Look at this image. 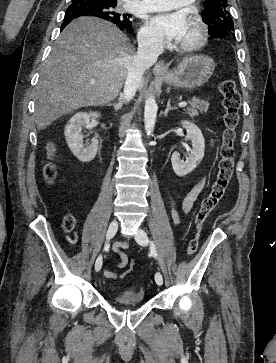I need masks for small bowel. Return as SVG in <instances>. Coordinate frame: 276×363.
<instances>
[{"label": "small bowel", "mask_w": 276, "mask_h": 363, "mask_svg": "<svg viewBox=\"0 0 276 363\" xmlns=\"http://www.w3.org/2000/svg\"><path fill=\"white\" fill-rule=\"evenodd\" d=\"M213 143V141H212ZM207 184V179L203 178L199 183H197L184 197L183 201H182V211L185 214H189L191 213L194 203L195 201L198 199L199 195L201 194V192L203 191V189L205 188ZM170 203V208H171V217L173 219V222L176 225H180L181 224V217L180 214L176 208V203L175 201L170 198L169 200ZM128 247V242H117L115 243V245L113 246V250L114 252L119 256V262H118V267L119 268H124L127 266L129 259L128 256L124 253V249H126ZM104 276L106 278L109 279H115L117 277V274L111 270H105L104 271Z\"/></svg>", "instance_id": "c3829d8e"}]
</instances>
